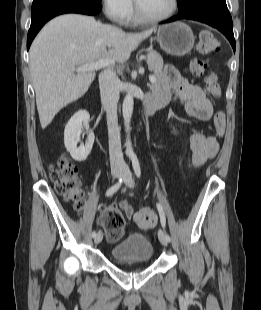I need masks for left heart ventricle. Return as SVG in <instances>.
<instances>
[{
	"instance_id": "left-heart-ventricle-1",
	"label": "left heart ventricle",
	"mask_w": 261,
	"mask_h": 310,
	"mask_svg": "<svg viewBox=\"0 0 261 310\" xmlns=\"http://www.w3.org/2000/svg\"><path fill=\"white\" fill-rule=\"evenodd\" d=\"M141 11L149 17H158L169 11L172 0H136Z\"/></svg>"
}]
</instances>
